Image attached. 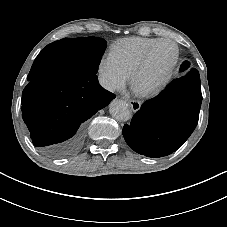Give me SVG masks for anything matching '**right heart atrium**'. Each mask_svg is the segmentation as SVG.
Masks as SVG:
<instances>
[{
  "instance_id": "1",
  "label": "right heart atrium",
  "mask_w": 227,
  "mask_h": 227,
  "mask_svg": "<svg viewBox=\"0 0 227 227\" xmlns=\"http://www.w3.org/2000/svg\"><path fill=\"white\" fill-rule=\"evenodd\" d=\"M98 75L102 87L109 92L120 90L128 78L126 72L109 56L100 59Z\"/></svg>"
}]
</instances>
